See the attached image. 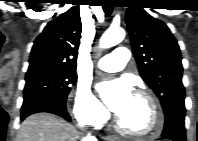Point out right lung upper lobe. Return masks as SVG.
Wrapping results in <instances>:
<instances>
[{"instance_id":"1","label":"right lung upper lobe","mask_w":198,"mask_h":141,"mask_svg":"<svg viewBox=\"0 0 198 141\" xmlns=\"http://www.w3.org/2000/svg\"><path fill=\"white\" fill-rule=\"evenodd\" d=\"M81 29L80 11L76 7L49 22L34 42L28 72L47 69L75 71Z\"/></svg>"}]
</instances>
